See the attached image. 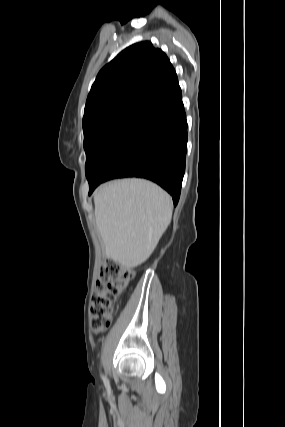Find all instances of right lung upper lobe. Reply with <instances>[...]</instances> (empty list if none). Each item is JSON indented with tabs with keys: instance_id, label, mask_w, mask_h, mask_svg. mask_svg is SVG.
I'll use <instances>...</instances> for the list:
<instances>
[{
	"instance_id": "1",
	"label": "right lung upper lobe",
	"mask_w": 285,
	"mask_h": 427,
	"mask_svg": "<svg viewBox=\"0 0 285 427\" xmlns=\"http://www.w3.org/2000/svg\"><path fill=\"white\" fill-rule=\"evenodd\" d=\"M178 83L166 54L145 41L120 52L98 73L88 95L83 126L123 108L144 109Z\"/></svg>"
}]
</instances>
